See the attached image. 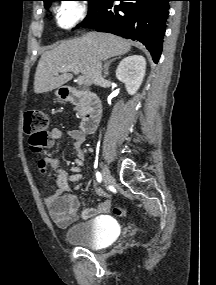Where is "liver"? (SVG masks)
<instances>
[{
  "label": "liver",
  "instance_id": "obj_1",
  "mask_svg": "<svg viewBox=\"0 0 216 285\" xmlns=\"http://www.w3.org/2000/svg\"><path fill=\"white\" fill-rule=\"evenodd\" d=\"M131 44L121 37L97 32L61 42L57 47L42 54L35 73L34 92H49L70 81L72 74L69 71L57 74L60 69L70 66H77L91 85L93 61L123 55L130 51Z\"/></svg>",
  "mask_w": 216,
  "mask_h": 285
}]
</instances>
